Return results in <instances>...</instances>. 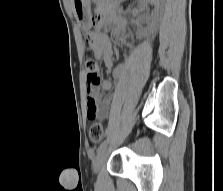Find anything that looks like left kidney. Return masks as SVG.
<instances>
[{
    "label": "left kidney",
    "mask_w": 223,
    "mask_h": 191,
    "mask_svg": "<svg viewBox=\"0 0 223 191\" xmlns=\"http://www.w3.org/2000/svg\"><path fill=\"white\" fill-rule=\"evenodd\" d=\"M164 0H140L139 6L141 8L153 7L152 10V22L149 27L144 30V33H153L157 28V23L162 15Z\"/></svg>",
    "instance_id": "obj_1"
}]
</instances>
